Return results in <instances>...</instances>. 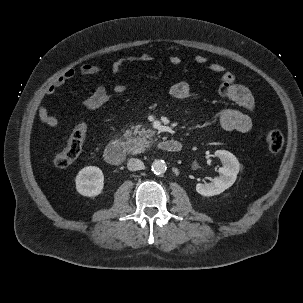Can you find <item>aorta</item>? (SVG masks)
Returning <instances> with one entry per match:
<instances>
[{"label":"aorta","mask_w":303,"mask_h":303,"mask_svg":"<svg viewBox=\"0 0 303 303\" xmlns=\"http://www.w3.org/2000/svg\"><path fill=\"white\" fill-rule=\"evenodd\" d=\"M152 171L154 172V174L156 175H160V174H164L166 172L167 166L164 160H155L152 163Z\"/></svg>","instance_id":"obj_1"}]
</instances>
